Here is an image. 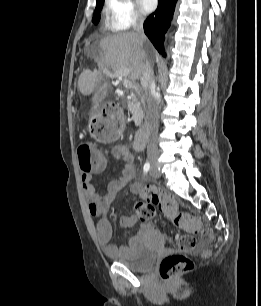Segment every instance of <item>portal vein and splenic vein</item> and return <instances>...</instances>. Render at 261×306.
<instances>
[{"label":"portal vein and splenic vein","mask_w":261,"mask_h":306,"mask_svg":"<svg viewBox=\"0 0 261 306\" xmlns=\"http://www.w3.org/2000/svg\"><path fill=\"white\" fill-rule=\"evenodd\" d=\"M105 74H110V72L108 70H104ZM130 73V69L129 68H123L120 71L116 72L113 74V77H120L123 78V85L126 88H132L133 84L132 82L127 78L128 75Z\"/></svg>","instance_id":"1"}]
</instances>
